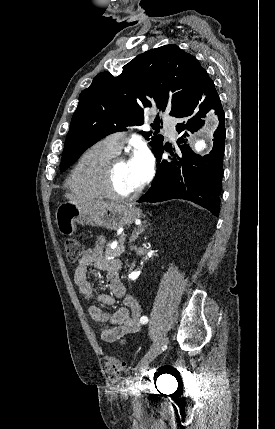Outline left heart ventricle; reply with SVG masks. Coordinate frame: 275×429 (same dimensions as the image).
<instances>
[{
  "label": "left heart ventricle",
  "instance_id": "1",
  "mask_svg": "<svg viewBox=\"0 0 275 429\" xmlns=\"http://www.w3.org/2000/svg\"><path fill=\"white\" fill-rule=\"evenodd\" d=\"M114 186L120 194H131L139 188L129 161L120 162L115 166Z\"/></svg>",
  "mask_w": 275,
  "mask_h": 429
}]
</instances>
